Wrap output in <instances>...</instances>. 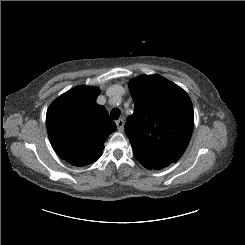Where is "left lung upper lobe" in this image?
Segmentation results:
<instances>
[{
  "instance_id": "obj_1",
  "label": "left lung upper lobe",
  "mask_w": 245,
  "mask_h": 245,
  "mask_svg": "<svg viewBox=\"0 0 245 245\" xmlns=\"http://www.w3.org/2000/svg\"><path fill=\"white\" fill-rule=\"evenodd\" d=\"M135 108L125 124L138 162L160 170L175 163L191 139L194 114L188 94L160 75H141L129 83Z\"/></svg>"
}]
</instances>
